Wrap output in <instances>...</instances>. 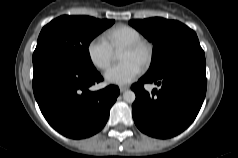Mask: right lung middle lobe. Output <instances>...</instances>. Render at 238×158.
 I'll use <instances>...</instances> for the list:
<instances>
[{
    "instance_id": "right-lung-middle-lobe-1",
    "label": "right lung middle lobe",
    "mask_w": 238,
    "mask_h": 158,
    "mask_svg": "<svg viewBox=\"0 0 238 158\" xmlns=\"http://www.w3.org/2000/svg\"><path fill=\"white\" fill-rule=\"evenodd\" d=\"M114 22L89 16H60L43 27L33 60L44 54H53L79 68L95 70L89 55V44Z\"/></svg>"
}]
</instances>
